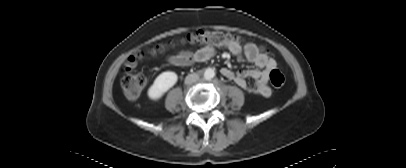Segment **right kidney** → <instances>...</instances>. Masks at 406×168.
Returning <instances> with one entry per match:
<instances>
[{
	"label": "right kidney",
	"instance_id": "ca27d5eb",
	"mask_svg": "<svg viewBox=\"0 0 406 168\" xmlns=\"http://www.w3.org/2000/svg\"><path fill=\"white\" fill-rule=\"evenodd\" d=\"M178 80L175 72L166 71L157 76L152 86L148 89V97L151 100L160 99Z\"/></svg>",
	"mask_w": 406,
	"mask_h": 168
}]
</instances>
